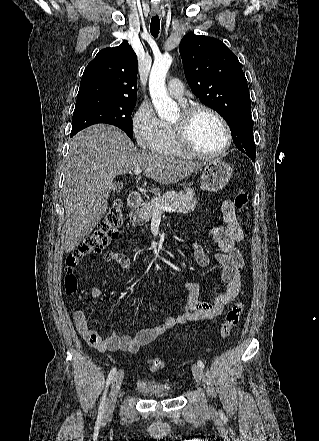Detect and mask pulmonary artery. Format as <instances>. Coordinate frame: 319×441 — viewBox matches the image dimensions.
<instances>
[{
	"label": "pulmonary artery",
	"instance_id": "e3ab8cb5",
	"mask_svg": "<svg viewBox=\"0 0 319 441\" xmlns=\"http://www.w3.org/2000/svg\"><path fill=\"white\" fill-rule=\"evenodd\" d=\"M167 91L171 97L178 99L181 102H185L184 87L180 80L178 79L170 80L167 85Z\"/></svg>",
	"mask_w": 319,
	"mask_h": 441
}]
</instances>
